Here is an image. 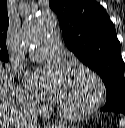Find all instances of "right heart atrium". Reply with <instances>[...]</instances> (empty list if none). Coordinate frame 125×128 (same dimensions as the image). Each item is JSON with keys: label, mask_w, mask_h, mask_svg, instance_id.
<instances>
[{"label": "right heart atrium", "mask_w": 125, "mask_h": 128, "mask_svg": "<svg viewBox=\"0 0 125 128\" xmlns=\"http://www.w3.org/2000/svg\"><path fill=\"white\" fill-rule=\"evenodd\" d=\"M17 99L23 108L36 110L39 107L38 100L24 90H17Z\"/></svg>", "instance_id": "d8ad5b80"}]
</instances>
